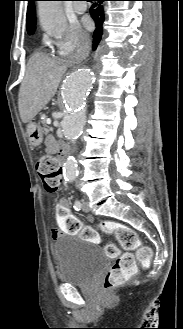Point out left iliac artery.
<instances>
[{
	"label": "left iliac artery",
	"instance_id": "1",
	"mask_svg": "<svg viewBox=\"0 0 183 329\" xmlns=\"http://www.w3.org/2000/svg\"><path fill=\"white\" fill-rule=\"evenodd\" d=\"M73 207L76 211H80L81 210V202L79 200H76Z\"/></svg>",
	"mask_w": 183,
	"mask_h": 329
}]
</instances>
